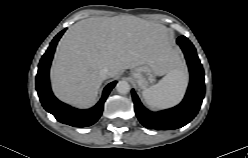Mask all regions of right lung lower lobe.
<instances>
[{
	"mask_svg": "<svg viewBox=\"0 0 248 158\" xmlns=\"http://www.w3.org/2000/svg\"><path fill=\"white\" fill-rule=\"evenodd\" d=\"M65 30L66 29L62 30L53 39V41L50 43L49 48L40 60L38 73L36 76V90L45 110L53 114L59 122L74 127L90 126L100 118L103 111L104 102L117 82L114 81L108 84L103 91V95L100 101L94 107L88 110H79L76 108H72L59 101L53 95L50 88L49 68L57 42L59 41Z\"/></svg>",
	"mask_w": 248,
	"mask_h": 158,
	"instance_id": "98d812e1",
	"label": "right lung lower lobe"
}]
</instances>
